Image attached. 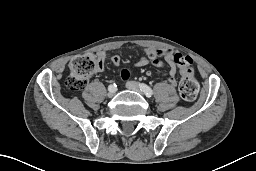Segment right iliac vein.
Segmentation results:
<instances>
[{
    "label": "right iliac vein",
    "mask_w": 256,
    "mask_h": 171,
    "mask_svg": "<svg viewBox=\"0 0 256 171\" xmlns=\"http://www.w3.org/2000/svg\"><path fill=\"white\" fill-rule=\"evenodd\" d=\"M114 95H115V90H109L107 96H108L109 98H112Z\"/></svg>",
    "instance_id": "63e3f726"
}]
</instances>
